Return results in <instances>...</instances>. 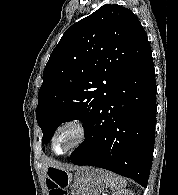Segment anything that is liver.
I'll use <instances>...</instances> for the list:
<instances>
[{
	"label": "liver",
	"mask_w": 178,
	"mask_h": 195,
	"mask_svg": "<svg viewBox=\"0 0 178 195\" xmlns=\"http://www.w3.org/2000/svg\"><path fill=\"white\" fill-rule=\"evenodd\" d=\"M45 170L48 168V167H56V168H60V169H64V167H60L59 163L54 161V160H51V159H46L45 161ZM68 167V166H67ZM65 170V169H64Z\"/></svg>",
	"instance_id": "1"
}]
</instances>
